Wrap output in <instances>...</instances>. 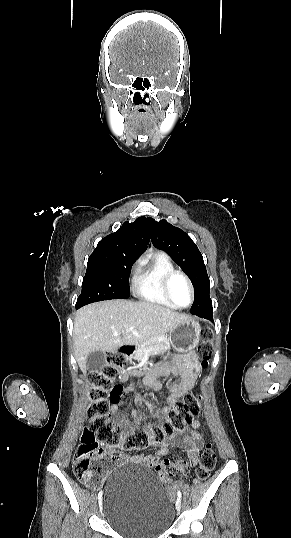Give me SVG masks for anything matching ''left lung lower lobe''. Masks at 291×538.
Masks as SVG:
<instances>
[{
    "mask_svg": "<svg viewBox=\"0 0 291 538\" xmlns=\"http://www.w3.org/2000/svg\"><path fill=\"white\" fill-rule=\"evenodd\" d=\"M192 314L194 315H197L199 317H202V318H205V319H208V320H213V309H212V306L211 307H201L199 309H196Z\"/></svg>",
    "mask_w": 291,
    "mask_h": 538,
    "instance_id": "left-lung-lower-lobe-1",
    "label": "left lung lower lobe"
}]
</instances>
